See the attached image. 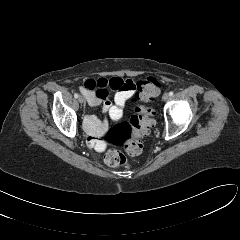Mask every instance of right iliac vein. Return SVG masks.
<instances>
[{
    "instance_id": "63e3f726",
    "label": "right iliac vein",
    "mask_w": 240,
    "mask_h": 240,
    "mask_svg": "<svg viewBox=\"0 0 240 240\" xmlns=\"http://www.w3.org/2000/svg\"><path fill=\"white\" fill-rule=\"evenodd\" d=\"M78 101H79L80 104H83L84 103V98L82 96H79Z\"/></svg>"
}]
</instances>
